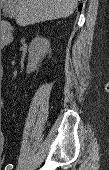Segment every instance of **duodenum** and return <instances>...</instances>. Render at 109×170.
I'll return each mask as SVG.
<instances>
[{
  "label": "duodenum",
  "instance_id": "duodenum-1",
  "mask_svg": "<svg viewBox=\"0 0 109 170\" xmlns=\"http://www.w3.org/2000/svg\"><path fill=\"white\" fill-rule=\"evenodd\" d=\"M9 28L7 27V25H5L3 31H4V37H3V45H7L10 42V37H9V33H8Z\"/></svg>",
  "mask_w": 109,
  "mask_h": 170
}]
</instances>
